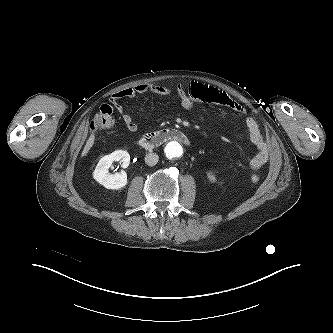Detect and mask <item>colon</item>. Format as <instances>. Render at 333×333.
<instances>
[{
    "label": "colon",
    "mask_w": 333,
    "mask_h": 333,
    "mask_svg": "<svg viewBox=\"0 0 333 333\" xmlns=\"http://www.w3.org/2000/svg\"><path fill=\"white\" fill-rule=\"evenodd\" d=\"M114 124L113 110L109 105H102L91 121V130L94 132H104L112 128ZM253 183L259 181V176L256 174L250 177Z\"/></svg>",
    "instance_id": "colon-1"
}]
</instances>
